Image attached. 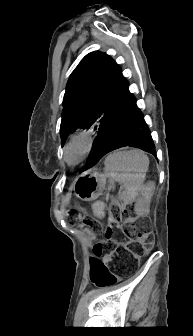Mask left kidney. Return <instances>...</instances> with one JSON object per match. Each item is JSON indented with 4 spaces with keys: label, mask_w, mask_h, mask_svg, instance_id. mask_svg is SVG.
I'll return each mask as SVG.
<instances>
[{
    "label": "left kidney",
    "mask_w": 193,
    "mask_h": 336,
    "mask_svg": "<svg viewBox=\"0 0 193 336\" xmlns=\"http://www.w3.org/2000/svg\"><path fill=\"white\" fill-rule=\"evenodd\" d=\"M155 189L154 182H148L141 190V197H139L135 204V212L138 216H144L149 213V206L151 198Z\"/></svg>",
    "instance_id": "left-kidney-1"
}]
</instances>
